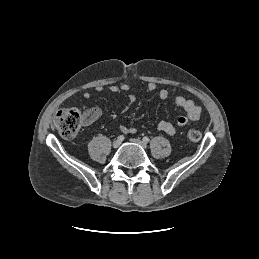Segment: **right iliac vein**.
Segmentation results:
<instances>
[{
	"mask_svg": "<svg viewBox=\"0 0 259 259\" xmlns=\"http://www.w3.org/2000/svg\"><path fill=\"white\" fill-rule=\"evenodd\" d=\"M120 144H121V142H120L119 140H115V141L113 142V147H114V148H118V147L120 146Z\"/></svg>",
	"mask_w": 259,
	"mask_h": 259,
	"instance_id": "obj_1",
	"label": "right iliac vein"
}]
</instances>
